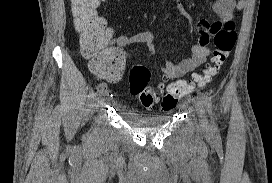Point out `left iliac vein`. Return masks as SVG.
<instances>
[{"instance_id": "left-iliac-vein-1", "label": "left iliac vein", "mask_w": 272, "mask_h": 183, "mask_svg": "<svg viewBox=\"0 0 272 183\" xmlns=\"http://www.w3.org/2000/svg\"><path fill=\"white\" fill-rule=\"evenodd\" d=\"M196 111L200 121V127L202 131L208 132L210 130V126L206 119V109L201 99L196 101Z\"/></svg>"}]
</instances>
